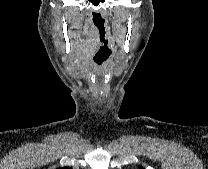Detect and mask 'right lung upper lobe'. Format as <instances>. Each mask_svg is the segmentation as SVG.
<instances>
[{"instance_id":"right-lung-upper-lobe-1","label":"right lung upper lobe","mask_w":208,"mask_h":169,"mask_svg":"<svg viewBox=\"0 0 208 169\" xmlns=\"http://www.w3.org/2000/svg\"><path fill=\"white\" fill-rule=\"evenodd\" d=\"M58 169H71L70 167H63V168H58Z\"/></svg>"}]
</instances>
